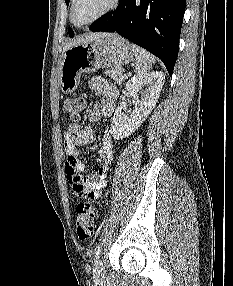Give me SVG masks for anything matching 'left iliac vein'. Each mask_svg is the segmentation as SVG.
Instances as JSON below:
<instances>
[{
    "label": "left iliac vein",
    "mask_w": 233,
    "mask_h": 286,
    "mask_svg": "<svg viewBox=\"0 0 233 286\" xmlns=\"http://www.w3.org/2000/svg\"><path fill=\"white\" fill-rule=\"evenodd\" d=\"M94 278L97 280H101L105 275V270L103 267L102 260L98 257L95 260L94 268H93Z\"/></svg>",
    "instance_id": "left-iliac-vein-1"
}]
</instances>
